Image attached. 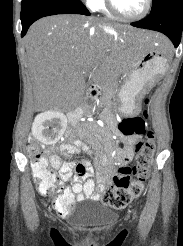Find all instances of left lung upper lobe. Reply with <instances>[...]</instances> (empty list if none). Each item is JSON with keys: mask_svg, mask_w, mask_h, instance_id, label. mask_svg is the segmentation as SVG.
Here are the masks:
<instances>
[{"mask_svg": "<svg viewBox=\"0 0 183 246\" xmlns=\"http://www.w3.org/2000/svg\"><path fill=\"white\" fill-rule=\"evenodd\" d=\"M165 0H153V3H152V9H155L157 6H159L162 2H164Z\"/></svg>", "mask_w": 183, "mask_h": 246, "instance_id": "5c2ea615", "label": "left lung upper lobe"}]
</instances>
